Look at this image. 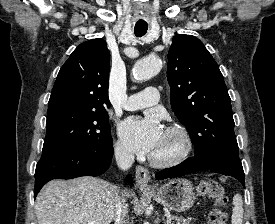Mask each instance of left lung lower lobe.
Returning <instances> with one entry per match:
<instances>
[{
    "mask_svg": "<svg viewBox=\"0 0 275 224\" xmlns=\"http://www.w3.org/2000/svg\"><path fill=\"white\" fill-rule=\"evenodd\" d=\"M202 170H209L215 173L232 176L245 187L242 163L239 158L231 157H213L211 159H201L194 156L177 166L159 171L156 173L155 177L158 180H163L167 178L180 177L187 173Z\"/></svg>",
    "mask_w": 275,
    "mask_h": 224,
    "instance_id": "left-lung-lower-lobe-1",
    "label": "left lung lower lobe"
}]
</instances>
